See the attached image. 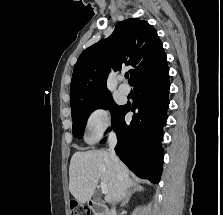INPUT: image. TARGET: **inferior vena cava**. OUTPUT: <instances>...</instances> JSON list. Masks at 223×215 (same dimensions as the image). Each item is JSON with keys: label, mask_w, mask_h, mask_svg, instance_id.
<instances>
[{"label": "inferior vena cava", "mask_w": 223, "mask_h": 215, "mask_svg": "<svg viewBox=\"0 0 223 215\" xmlns=\"http://www.w3.org/2000/svg\"><path fill=\"white\" fill-rule=\"evenodd\" d=\"M108 143H109V153H110V157L111 159H113L114 163H115V167L116 169H118V157L114 151V147L117 143V139H116V135L115 133H110L109 137H108ZM109 215H116V211L115 209H111V211H109Z\"/></svg>", "instance_id": "obj_1"}]
</instances>
